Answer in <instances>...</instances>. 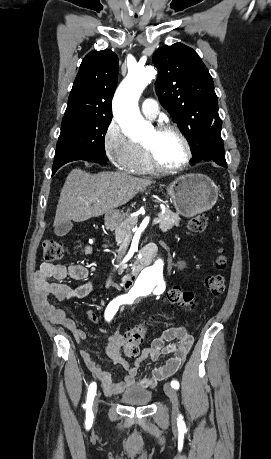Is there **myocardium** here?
I'll return each instance as SVG.
<instances>
[{"label":"myocardium","mask_w":271,"mask_h":459,"mask_svg":"<svg viewBox=\"0 0 271 459\" xmlns=\"http://www.w3.org/2000/svg\"><path fill=\"white\" fill-rule=\"evenodd\" d=\"M154 130L156 131V133L158 135H161L165 132H169V131H172V132H175L176 134H178L180 136V138L182 139L184 145H185V148H186V155H185V158L178 162V163H175V164H168V163H165L161 160V158L159 157V155L157 154L155 148L147 143H144L145 145V148L147 150V153H148V156L151 160V162L153 163V165L161 170V171H164V172H173V171H179V170H182L184 168H186L192 161L193 157H194V152H193V147H192V144L188 138V136L186 135V133L181 129V127H179L177 124L175 123H172V122H164V123H161L159 124L158 126H156L154 128Z\"/></svg>","instance_id":"f54148a6"}]
</instances>
